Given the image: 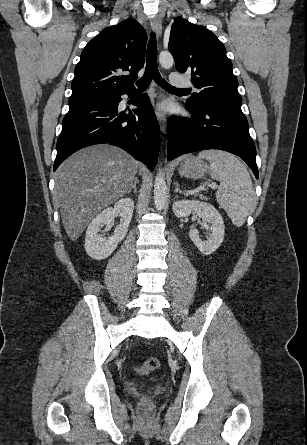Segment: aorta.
Returning <instances> with one entry per match:
<instances>
[{
	"label": "aorta",
	"mask_w": 307,
	"mask_h": 445,
	"mask_svg": "<svg viewBox=\"0 0 307 445\" xmlns=\"http://www.w3.org/2000/svg\"><path fill=\"white\" fill-rule=\"evenodd\" d=\"M159 62L163 68H171L173 66L174 58L169 50H162L159 54ZM167 184L164 172H157L154 182V202L157 210H162L166 202Z\"/></svg>",
	"instance_id": "obj_1"
}]
</instances>
